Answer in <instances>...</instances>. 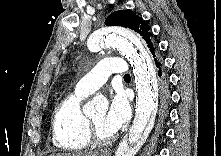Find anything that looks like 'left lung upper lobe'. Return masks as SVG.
Instances as JSON below:
<instances>
[{"instance_id":"obj_1","label":"left lung upper lobe","mask_w":221,"mask_h":156,"mask_svg":"<svg viewBox=\"0 0 221 156\" xmlns=\"http://www.w3.org/2000/svg\"><path fill=\"white\" fill-rule=\"evenodd\" d=\"M106 25L122 26L134 30L145 40L154 61L156 62L160 59V56L157 54L156 44L152 40L150 29L146 22L140 16L134 14L132 11L129 10L115 11L107 17Z\"/></svg>"}]
</instances>
